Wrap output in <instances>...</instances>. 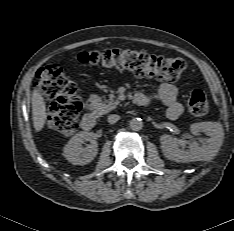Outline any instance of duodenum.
Here are the masks:
<instances>
[{
  "instance_id": "1",
  "label": "duodenum",
  "mask_w": 234,
  "mask_h": 231,
  "mask_svg": "<svg viewBox=\"0 0 234 231\" xmlns=\"http://www.w3.org/2000/svg\"><path fill=\"white\" fill-rule=\"evenodd\" d=\"M133 102L136 104V105H139V106H146L149 104V101L148 99L141 95V94H135L133 96ZM95 124H96V117L93 113H86L83 117H82V120H81V127L86 130V131H89L91 129H93L95 127Z\"/></svg>"
}]
</instances>
